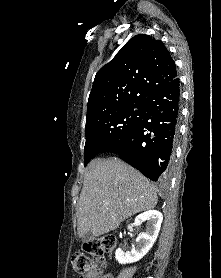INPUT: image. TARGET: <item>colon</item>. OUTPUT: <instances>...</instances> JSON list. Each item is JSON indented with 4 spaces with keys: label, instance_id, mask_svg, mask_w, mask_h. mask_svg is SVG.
<instances>
[{
    "label": "colon",
    "instance_id": "colon-1",
    "mask_svg": "<svg viewBox=\"0 0 221 278\" xmlns=\"http://www.w3.org/2000/svg\"><path fill=\"white\" fill-rule=\"evenodd\" d=\"M115 245V238L106 236L87 243L84 253H76L72 256L74 270L81 274V278H99L104 267L105 253Z\"/></svg>",
    "mask_w": 221,
    "mask_h": 278
}]
</instances>
